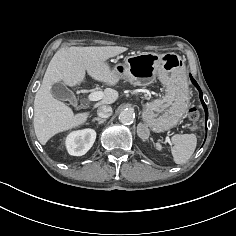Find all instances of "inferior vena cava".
<instances>
[{"label": "inferior vena cava", "instance_id": "inferior-vena-cava-1", "mask_svg": "<svg viewBox=\"0 0 236 236\" xmlns=\"http://www.w3.org/2000/svg\"><path fill=\"white\" fill-rule=\"evenodd\" d=\"M97 114L101 118H108L112 115V108L109 105H102L98 108Z\"/></svg>", "mask_w": 236, "mask_h": 236}]
</instances>
